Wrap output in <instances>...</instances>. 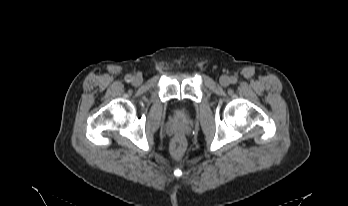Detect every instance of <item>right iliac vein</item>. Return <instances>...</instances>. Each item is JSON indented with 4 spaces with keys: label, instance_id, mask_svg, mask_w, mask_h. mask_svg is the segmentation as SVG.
<instances>
[{
    "label": "right iliac vein",
    "instance_id": "obj_1",
    "mask_svg": "<svg viewBox=\"0 0 348 206\" xmlns=\"http://www.w3.org/2000/svg\"><path fill=\"white\" fill-rule=\"evenodd\" d=\"M142 81H143L142 77L137 75V76L133 77L132 84L134 86H139V85H141Z\"/></svg>",
    "mask_w": 348,
    "mask_h": 206
}]
</instances>
